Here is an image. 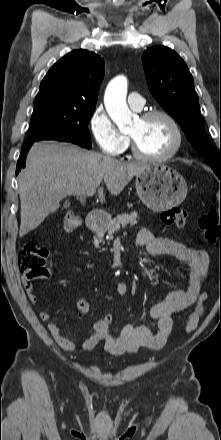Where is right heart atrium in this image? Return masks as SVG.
<instances>
[{
  "label": "right heart atrium",
  "mask_w": 221,
  "mask_h": 440,
  "mask_svg": "<svg viewBox=\"0 0 221 440\" xmlns=\"http://www.w3.org/2000/svg\"><path fill=\"white\" fill-rule=\"evenodd\" d=\"M89 129L100 151L119 156L128 148L129 139L117 128L103 106H98L89 119Z\"/></svg>",
  "instance_id": "right-heart-atrium-1"
}]
</instances>
